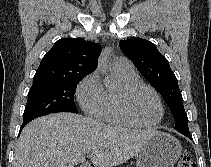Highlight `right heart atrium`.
Returning a JSON list of instances; mask_svg holds the SVG:
<instances>
[{"label":"right heart atrium","mask_w":211,"mask_h":167,"mask_svg":"<svg viewBox=\"0 0 211 167\" xmlns=\"http://www.w3.org/2000/svg\"><path fill=\"white\" fill-rule=\"evenodd\" d=\"M76 96L80 107L86 114L96 117L101 114L105 104V90L98 72L94 71L80 81Z\"/></svg>","instance_id":"right-heart-atrium-1"}]
</instances>
